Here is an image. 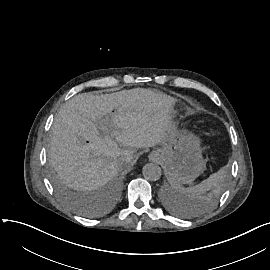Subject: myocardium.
Here are the masks:
<instances>
[{
  "instance_id": "obj_1",
  "label": "myocardium",
  "mask_w": 270,
  "mask_h": 270,
  "mask_svg": "<svg viewBox=\"0 0 270 270\" xmlns=\"http://www.w3.org/2000/svg\"><path fill=\"white\" fill-rule=\"evenodd\" d=\"M181 140L183 141H192L195 139V136L192 133L184 132L180 135Z\"/></svg>"
}]
</instances>
